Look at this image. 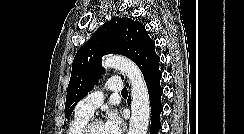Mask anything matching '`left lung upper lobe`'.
I'll return each mask as SVG.
<instances>
[{
  "instance_id": "1",
  "label": "left lung upper lobe",
  "mask_w": 244,
  "mask_h": 134,
  "mask_svg": "<svg viewBox=\"0 0 244 134\" xmlns=\"http://www.w3.org/2000/svg\"><path fill=\"white\" fill-rule=\"evenodd\" d=\"M111 53L133 60L145 81L152 74L160 72V58L155 52V43L147 35L145 27L130 18H113L105 22L75 55L67 89L66 118L70 117L75 105L98 83L104 73L102 56Z\"/></svg>"
}]
</instances>
